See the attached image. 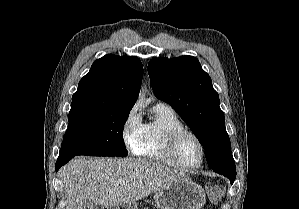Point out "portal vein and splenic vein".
Wrapping results in <instances>:
<instances>
[{"label":"portal vein and splenic vein","instance_id":"portal-vein-and-splenic-vein-1","mask_svg":"<svg viewBox=\"0 0 299 209\" xmlns=\"http://www.w3.org/2000/svg\"><path fill=\"white\" fill-rule=\"evenodd\" d=\"M116 183H117V184H122L123 181H122V180H117Z\"/></svg>","mask_w":299,"mask_h":209}]
</instances>
